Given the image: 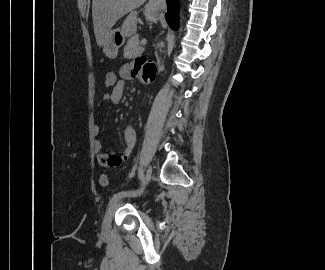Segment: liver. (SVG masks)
Returning <instances> with one entry per match:
<instances>
[{
  "label": "liver",
  "instance_id": "liver-1",
  "mask_svg": "<svg viewBox=\"0 0 325 270\" xmlns=\"http://www.w3.org/2000/svg\"><path fill=\"white\" fill-rule=\"evenodd\" d=\"M146 0H93L92 18L94 34L97 44L101 47L105 44L111 28L115 23L130 12L123 23L122 32L131 36L137 31V11Z\"/></svg>",
  "mask_w": 325,
  "mask_h": 270
}]
</instances>
